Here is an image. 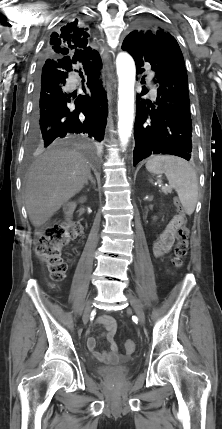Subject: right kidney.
Returning <instances> with one entry per match:
<instances>
[{"label":"right kidney","instance_id":"ca27d5eb","mask_svg":"<svg viewBox=\"0 0 222 429\" xmlns=\"http://www.w3.org/2000/svg\"><path fill=\"white\" fill-rule=\"evenodd\" d=\"M86 201V197H81L80 199H79V202H81V203H83V202H85ZM76 202H69V203H67L66 204V206L64 207V214L66 215V217H67V219L68 220H70L71 219V217H72V215H73V212L75 211V209H76Z\"/></svg>","mask_w":222,"mask_h":429}]
</instances>
